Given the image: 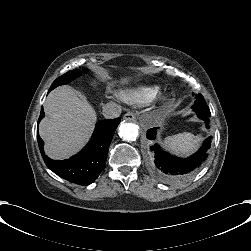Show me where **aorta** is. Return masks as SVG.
Listing matches in <instances>:
<instances>
[{"mask_svg": "<svg viewBox=\"0 0 251 251\" xmlns=\"http://www.w3.org/2000/svg\"><path fill=\"white\" fill-rule=\"evenodd\" d=\"M138 135V126L135 123H121L119 126V136L127 141H134Z\"/></svg>", "mask_w": 251, "mask_h": 251, "instance_id": "1", "label": "aorta"}]
</instances>
